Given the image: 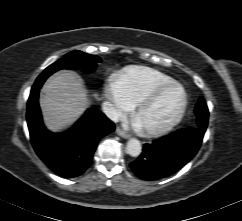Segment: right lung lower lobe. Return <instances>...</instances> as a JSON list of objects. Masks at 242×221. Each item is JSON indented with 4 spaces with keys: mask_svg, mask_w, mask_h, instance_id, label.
<instances>
[{
    "mask_svg": "<svg viewBox=\"0 0 242 221\" xmlns=\"http://www.w3.org/2000/svg\"><path fill=\"white\" fill-rule=\"evenodd\" d=\"M33 86L27 103V123L32 145L41 160L65 178L83 174L91 165L98 141L115 126L102 112L89 109L66 133L48 131L38 105L39 89Z\"/></svg>",
    "mask_w": 242,
    "mask_h": 221,
    "instance_id": "1",
    "label": "right lung lower lobe"
}]
</instances>
